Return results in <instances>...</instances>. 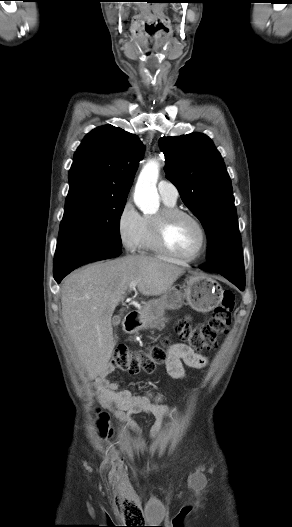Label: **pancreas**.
<instances>
[{"mask_svg":"<svg viewBox=\"0 0 292 527\" xmlns=\"http://www.w3.org/2000/svg\"><path fill=\"white\" fill-rule=\"evenodd\" d=\"M166 321H167V319L162 318L154 327H156L157 329H161V328L165 327V322Z\"/></svg>","mask_w":292,"mask_h":527,"instance_id":"1","label":"pancreas"}]
</instances>
